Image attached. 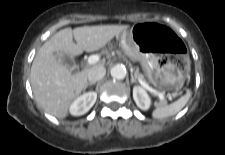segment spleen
<instances>
[{
  "label": "spleen",
  "mask_w": 225,
  "mask_h": 155,
  "mask_svg": "<svg viewBox=\"0 0 225 155\" xmlns=\"http://www.w3.org/2000/svg\"><path fill=\"white\" fill-rule=\"evenodd\" d=\"M191 97V92L188 91L184 96H182L177 101L169 105H160L153 112L152 117L155 119H163L172 115L177 114L188 102Z\"/></svg>",
  "instance_id": "spleen-1"
}]
</instances>
